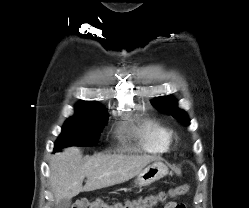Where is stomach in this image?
I'll list each match as a JSON object with an SVG mask.
<instances>
[{
  "instance_id": "obj_1",
  "label": "stomach",
  "mask_w": 249,
  "mask_h": 208,
  "mask_svg": "<svg viewBox=\"0 0 249 208\" xmlns=\"http://www.w3.org/2000/svg\"><path fill=\"white\" fill-rule=\"evenodd\" d=\"M167 166L156 161L148 166H146L135 179V185L138 187H146L151 185L153 182L165 177L168 174Z\"/></svg>"
}]
</instances>
